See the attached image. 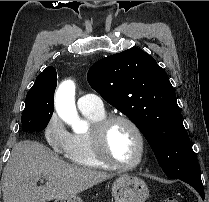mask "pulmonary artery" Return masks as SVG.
Here are the masks:
<instances>
[{"instance_id": "pulmonary-artery-1", "label": "pulmonary artery", "mask_w": 209, "mask_h": 202, "mask_svg": "<svg viewBox=\"0 0 209 202\" xmlns=\"http://www.w3.org/2000/svg\"><path fill=\"white\" fill-rule=\"evenodd\" d=\"M77 106L80 111L103 112L104 104L100 96L95 93H86L77 100Z\"/></svg>"}]
</instances>
